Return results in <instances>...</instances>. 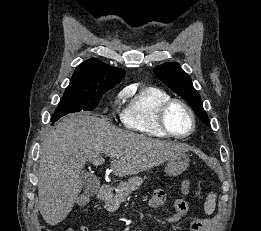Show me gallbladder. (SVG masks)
<instances>
[{"label":"gallbladder","instance_id":"obj_1","mask_svg":"<svg viewBox=\"0 0 261 231\" xmlns=\"http://www.w3.org/2000/svg\"><path fill=\"white\" fill-rule=\"evenodd\" d=\"M80 177L82 179L85 193H87L88 195L95 194L99 188L97 178L86 171H81Z\"/></svg>","mask_w":261,"mask_h":231}]
</instances>
